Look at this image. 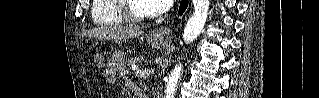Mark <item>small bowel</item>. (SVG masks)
<instances>
[{
	"label": "small bowel",
	"mask_w": 319,
	"mask_h": 98,
	"mask_svg": "<svg viewBox=\"0 0 319 98\" xmlns=\"http://www.w3.org/2000/svg\"><path fill=\"white\" fill-rule=\"evenodd\" d=\"M124 84L127 88L131 89L133 91V88L135 87L132 83H130L129 81H124Z\"/></svg>",
	"instance_id": "c3829d8e"
}]
</instances>
